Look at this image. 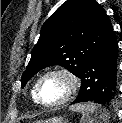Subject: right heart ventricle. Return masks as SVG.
I'll return each instance as SVG.
<instances>
[{"label": "right heart ventricle", "instance_id": "e07e8e85", "mask_svg": "<svg viewBox=\"0 0 122 123\" xmlns=\"http://www.w3.org/2000/svg\"><path fill=\"white\" fill-rule=\"evenodd\" d=\"M36 84L37 82H35L31 88V91H30V95H31V98L32 100L37 103V100H36Z\"/></svg>", "mask_w": 122, "mask_h": 123}]
</instances>
